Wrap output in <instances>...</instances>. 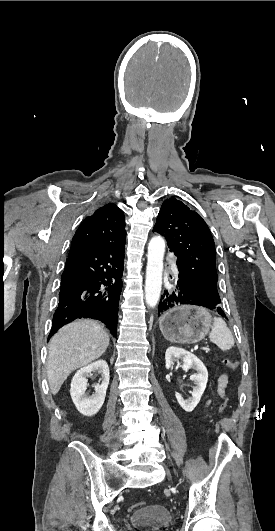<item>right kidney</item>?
I'll return each mask as SVG.
<instances>
[{"mask_svg": "<svg viewBox=\"0 0 275 531\" xmlns=\"http://www.w3.org/2000/svg\"><path fill=\"white\" fill-rule=\"evenodd\" d=\"M92 371H99L102 375L103 381L101 385H99V383L93 385L95 395L88 397L85 393L88 387V379H86V377H89ZM109 379V367L103 359H99V361H95V363H91V365H87V367H83V369L77 371L71 381L70 395L77 411H79L81 415L92 417V415L98 413L105 401Z\"/></svg>", "mask_w": 275, "mask_h": 531, "instance_id": "ca27d5eb", "label": "right kidney"}]
</instances>
